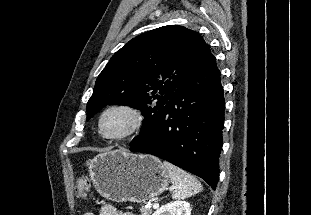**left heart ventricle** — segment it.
<instances>
[{"label": "left heart ventricle", "mask_w": 311, "mask_h": 215, "mask_svg": "<svg viewBox=\"0 0 311 215\" xmlns=\"http://www.w3.org/2000/svg\"><path fill=\"white\" fill-rule=\"evenodd\" d=\"M132 123L129 113L121 110L109 112L103 119V130L107 134H118L125 131Z\"/></svg>", "instance_id": "left-heart-ventricle-1"}]
</instances>
